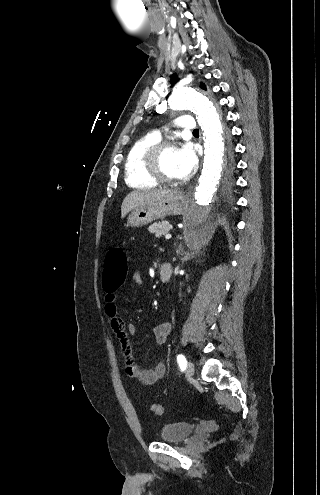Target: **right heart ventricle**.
<instances>
[{
  "label": "right heart ventricle",
  "instance_id": "1",
  "mask_svg": "<svg viewBox=\"0 0 320 495\" xmlns=\"http://www.w3.org/2000/svg\"><path fill=\"white\" fill-rule=\"evenodd\" d=\"M159 139L153 134H147L130 147L124 163L125 182L132 188L150 189L157 186L155 181L144 169L143 155L146 150Z\"/></svg>",
  "mask_w": 320,
  "mask_h": 495
}]
</instances>
